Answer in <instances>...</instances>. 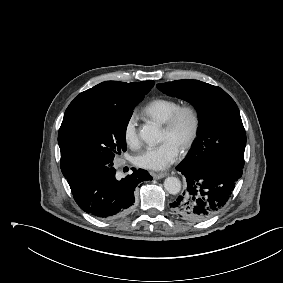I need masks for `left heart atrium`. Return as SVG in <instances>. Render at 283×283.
Here are the masks:
<instances>
[{
	"label": "left heart atrium",
	"instance_id": "1",
	"mask_svg": "<svg viewBox=\"0 0 283 283\" xmlns=\"http://www.w3.org/2000/svg\"><path fill=\"white\" fill-rule=\"evenodd\" d=\"M180 155V148L171 141L158 146H148L135 157L134 163L149 170H164L173 164Z\"/></svg>",
	"mask_w": 283,
	"mask_h": 283
}]
</instances>
